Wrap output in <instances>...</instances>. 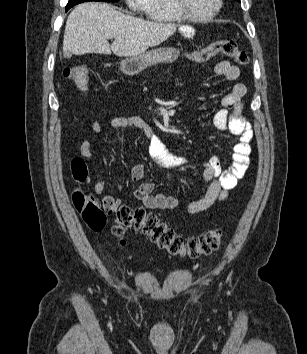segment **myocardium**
Here are the masks:
<instances>
[{"label":"myocardium","mask_w":307,"mask_h":354,"mask_svg":"<svg viewBox=\"0 0 307 354\" xmlns=\"http://www.w3.org/2000/svg\"><path fill=\"white\" fill-rule=\"evenodd\" d=\"M174 6L176 11L179 13V15L186 20L194 21V22H207L212 19H214L218 13L220 12L222 5H223V0H217V4L215 9L208 15L204 16H196L191 14L186 5V0H173Z\"/></svg>","instance_id":"f54148a6"}]
</instances>
